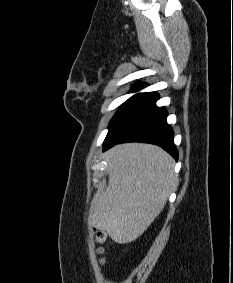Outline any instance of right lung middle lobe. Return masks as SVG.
I'll list each match as a JSON object with an SVG mask.
<instances>
[{"instance_id": "obj_1", "label": "right lung middle lobe", "mask_w": 233, "mask_h": 283, "mask_svg": "<svg viewBox=\"0 0 233 283\" xmlns=\"http://www.w3.org/2000/svg\"><path fill=\"white\" fill-rule=\"evenodd\" d=\"M146 86H147L146 84H136L132 88L131 92H137V91L145 88ZM140 95H141V93H138V94L132 96L131 98H129L126 102H124L120 106L118 112L114 115V117L110 121L109 131H108L106 138L113 132V130L116 128V126L119 124V122L123 119V117L128 113V111L134 105V103L140 97Z\"/></svg>"}]
</instances>
